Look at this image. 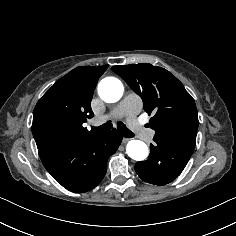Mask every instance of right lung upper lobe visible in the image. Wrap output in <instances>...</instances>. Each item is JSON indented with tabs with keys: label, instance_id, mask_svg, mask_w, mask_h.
Returning a JSON list of instances; mask_svg holds the SVG:
<instances>
[{
	"label": "right lung upper lobe",
	"instance_id": "obj_1",
	"mask_svg": "<svg viewBox=\"0 0 236 236\" xmlns=\"http://www.w3.org/2000/svg\"><path fill=\"white\" fill-rule=\"evenodd\" d=\"M107 67H77L59 79L38 101L33 112L32 133L40 156L67 142L98 133L88 131L83 123L94 115L90 105L93 91Z\"/></svg>",
	"mask_w": 236,
	"mask_h": 236
}]
</instances>
